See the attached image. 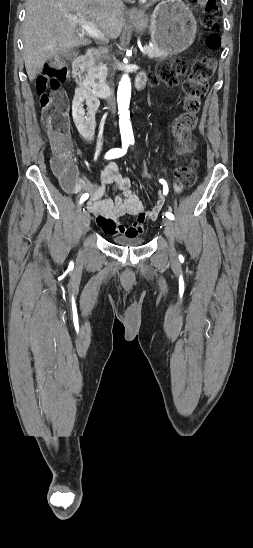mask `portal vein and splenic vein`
<instances>
[{"label": "portal vein and splenic vein", "mask_w": 253, "mask_h": 548, "mask_svg": "<svg viewBox=\"0 0 253 548\" xmlns=\"http://www.w3.org/2000/svg\"><path fill=\"white\" fill-rule=\"evenodd\" d=\"M74 19L77 20V22L80 24L82 33H87L90 37H93L95 39L100 38V33L93 22L89 21L84 16H75ZM149 50L150 47L146 45L144 46L142 52L146 54Z\"/></svg>", "instance_id": "obj_1"}]
</instances>
